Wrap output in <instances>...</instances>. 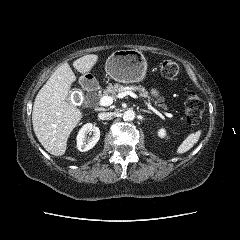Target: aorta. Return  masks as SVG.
Here are the masks:
<instances>
[{"mask_svg":"<svg viewBox=\"0 0 240 240\" xmlns=\"http://www.w3.org/2000/svg\"><path fill=\"white\" fill-rule=\"evenodd\" d=\"M124 121H132L135 119V112L133 110H127L123 114Z\"/></svg>","mask_w":240,"mask_h":240,"instance_id":"aorta-1","label":"aorta"}]
</instances>
